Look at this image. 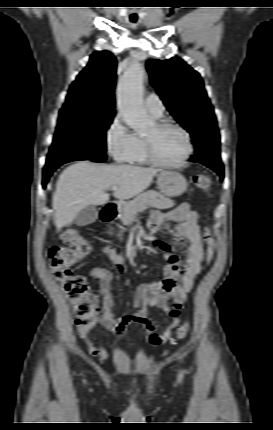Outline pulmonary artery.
Instances as JSON below:
<instances>
[{
	"label": "pulmonary artery",
	"mask_w": 273,
	"mask_h": 430,
	"mask_svg": "<svg viewBox=\"0 0 273 430\" xmlns=\"http://www.w3.org/2000/svg\"><path fill=\"white\" fill-rule=\"evenodd\" d=\"M147 110L154 116L160 117L164 112V105L158 95L151 93L145 100Z\"/></svg>",
	"instance_id": "pulmonary-artery-1"
}]
</instances>
